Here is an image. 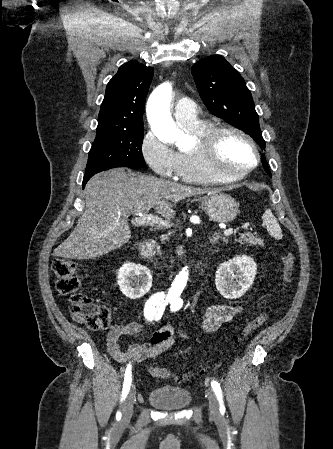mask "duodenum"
I'll return each instance as SVG.
<instances>
[{"mask_svg": "<svg viewBox=\"0 0 333 449\" xmlns=\"http://www.w3.org/2000/svg\"><path fill=\"white\" fill-rule=\"evenodd\" d=\"M156 247L157 242L153 239L143 241L138 248L140 257L144 260L151 258L156 250ZM198 267L202 269L204 267V263L200 262Z\"/></svg>", "mask_w": 333, "mask_h": 449, "instance_id": "410a0bca", "label": "duodenum"}]
</instances>
